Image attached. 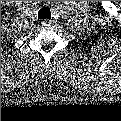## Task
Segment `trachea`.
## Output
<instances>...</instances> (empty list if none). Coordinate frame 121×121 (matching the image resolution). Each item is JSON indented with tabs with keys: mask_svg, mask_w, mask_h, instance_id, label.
<instances>
[{
	"mask_svg": "<svg viewBox=\"0 0 121 121\" xmlns=\"http://www.w3.org/2000/svg\"><path fill=\"white\" fill-rule=\"evenodd\" d=\"M38 18L39 19H50L51 18V12L48 7H43L38 12Z\"/></svg>",
	"mask_w": 121,
	"mask_h": 121,
	"instance_id": "3493384b",
	"label": "trachea"
}]
</instances>
